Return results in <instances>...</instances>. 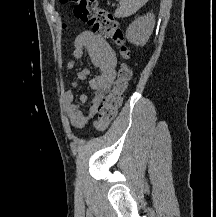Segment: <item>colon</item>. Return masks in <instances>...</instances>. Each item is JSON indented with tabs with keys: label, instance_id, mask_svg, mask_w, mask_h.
<instances>
[{
	"label": "colon",
	"instance_id": "obj_1",
	"mask_svg": "<svg viewBox=\"0 0 216 217\" xmlns=\"http://www.w3.org/2000/svg\"><path fill=\"white\" fill-rule=\"evenodd\" d=\"M60 3L62 5L73 3L74 14L77 18L90 25L94 32L119 48L122 62L118 67L112 90L98 108V119L94 124L97 130L102 131L115 119L131 80L132 70L125 62L129 56V50L125 45L123 32L112 14L99 7L97 0H60Z\"/></svg>",
	"mask_w": 216,
	"mask_h": 217
}]
</instances>
